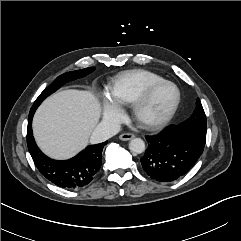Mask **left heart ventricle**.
Wrapping results in <instances>:
<instances>
[{
	"instance_id": "b2bd125f",
	"label": "left heart ventricle",
	"mask_w": 241,
	"mask_h": 241,
	"mask_svg": "<svg viewBox=\"0 0 241 241\" xmlns=\"http://www.w3.org/2000/svg\"><path fill=\"white\" fill-rule=\"evenodd\" d=\"M176 98V90L171 85L160 87L151 97L143 111V116L149 120L163 117L171 108Z\"/></svg>"
}]
</instances>
